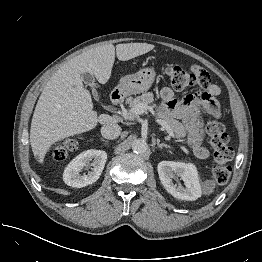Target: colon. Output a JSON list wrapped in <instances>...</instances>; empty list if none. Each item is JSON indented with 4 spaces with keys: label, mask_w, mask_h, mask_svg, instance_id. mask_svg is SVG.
I'll list each match as a JSON object with an SVG mask.
<instances>
[{
    "label": "colon",
    "mask_w": 262,
    "mask_h": 262,
    "mask_svg": "<svg viewBox=\"0 0 262 262\" xmlns=\"http://www.w3.org/2000/svg\"><path fill=\"white\" fill-rule=\"evenodd\" d=\"M167 75L172 88L176 91L185 90L195 85L198 81L208 77L207 71L202 68L195 74L176 65H170L167 68ZM206 130L210 137L214 157L217 162V165L213 169V176L217 183L224 184L228 181L231 174L229 161L233 158L234 151L233 148L228 145V135L223 125L217 121L216 116H210ZM75 148L76 143L72 140L58 144L53 152L54 158L56 160H63L68 156L69 152Z\"/></svg>",
    "instance_id": "obj_1"
}]
</instances>
